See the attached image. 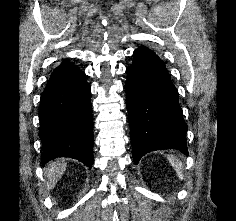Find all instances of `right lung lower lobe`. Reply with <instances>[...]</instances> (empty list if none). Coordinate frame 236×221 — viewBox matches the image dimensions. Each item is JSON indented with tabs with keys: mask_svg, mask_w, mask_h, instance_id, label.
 <instances>
[{
	"mask_svg": "<svg viewBox=\"0 0 236 221\" xmlns=\"http://www.w3.org/2000/svg\"><path fill=\"white\" fill-rule=\"evenodd\" d=\"M42 163L70 157L93 164V121L90 87L85 74L68 60L52 72L39 109Z\"/></svg>",
	"mask_w": 236,
	"mask_h": 221,
	"instance_id": "1",
	"label": "right lung lower lobe"
}]
</instances>
